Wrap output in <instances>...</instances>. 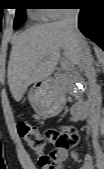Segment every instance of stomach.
I'll return each mask as SVG.
<instances>
[{
	"mask_svg": "<svg viewBox=\"0 0 104 169\" xmlns=\"http://www.w3.org/2000/svg\"><path fill=\"white\" fill-rule=\"evenodd\" d=\"M27 100L34 111L43 117L58 115L65 105L63 90L50 80L36 83L29 91Z\"/></svg>",
	"mask_w": 104,
	"mask_h": 169,
	"instance_id": "0dacf381",
	"label": "stomach"
}]
</instances>
